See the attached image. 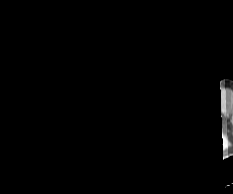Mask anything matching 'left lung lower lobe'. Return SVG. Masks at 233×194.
<instances>
[{"label": "left lung lower lobe", "mask_w": 233, "mask_h": 194, "mask_svg": "<svg viewBox=\"0 0 233 194\" xmlns=\"http://www.w3.org/2000/svg\"><path fill=\"white\" fill-rule=\"evenodd\" d=\"M183 159V155L179 154H157L148 151L143 158V164L146 168L153 171H162Z\"/></svg>", "instance_id": "0a47b994"}]
</instances>
